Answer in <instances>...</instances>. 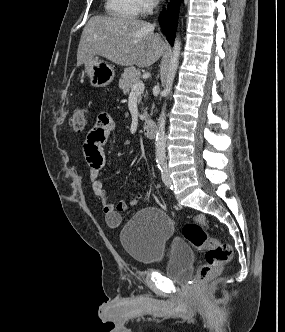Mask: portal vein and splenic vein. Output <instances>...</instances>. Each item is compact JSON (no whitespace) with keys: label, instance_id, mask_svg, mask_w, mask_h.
Listing matches in <instances>:
<instances>
[{"label":"portal vein and splenic vein","instance_id":"18ae733b","mask_svg":"<svg viewBox=\"0 0 285 332\" xmlns=\"http://www.w3.org/2000/svg\"><path fill=\"white\" fill-rule=\"evenodd\" d=\"M144 89H145L144 83L139 82L133 86L130 95H139L143 93Z\"/></svg>","mask_w":285,"mask_h":332}]
</instances>
